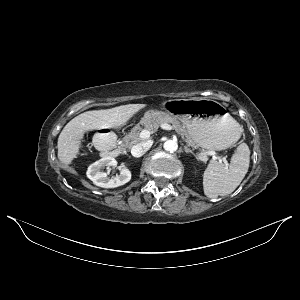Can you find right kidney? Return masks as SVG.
Returning <instances> with one entry per match:
<instances>
[{
	"label": "right kidney",
	"mask_w": 300,
	"mask_h": 300,
	"mask_svg": "<svg viewBox=\"0 0 300 300\" xmlns=\"http://www.w3.org/2000/svg\"><path fill=\"white\" fill-rule=\"evenodd\" d=\"M103 167H117V161L113 157H103L94 162L88 167L87 177L93 181L96 186L102 188H115L129 182L131 179V171L125 167L120 166V174L113 178H109L105 172H102Z\"/></svg>",
	"instance_id": "ca27d5eb"
}]
</instances>
